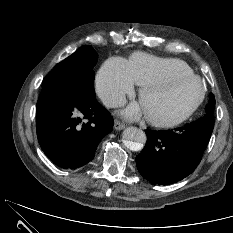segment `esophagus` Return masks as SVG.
<instances>
[{"label":"esophagus","instance_id":"esophagus-1","mask_svg":"<svg viewBox=\"0 0 233 233\" xmlns=\"http://www.w3.org/2000/svg\"><path fill=\"white\" fill-rule=\"evenodd\" d=\"M125 128V124L120 122L119 120L114 121V129L115 130H122Z\"/></svg>","mask_w":233,"mask_h":233}]
</instances>
